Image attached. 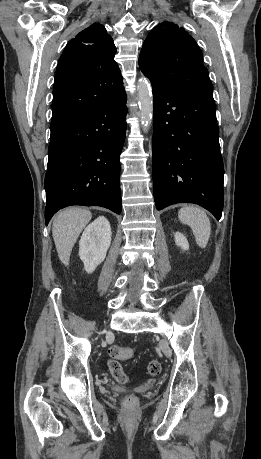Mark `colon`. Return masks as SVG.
<instances>
[{
  "label": "colon",
  "instance_id": "1",
  "mask_svg": "<svg viewBox=\"0 0 261 459\" xmlns=\"http://www.w3.org/2000/svg\"><path fill=\"white\" fill-rule=\"evenodd\" d=\"M134 354L133 349L120 347L113 345L108 349V355L110 357L108 361V368L111 375L119 383H125L127 381V374L122 368L119 360H128L132 358ZM161 362L157 359H153L148 363L147 370L150 375H158L161 372ZM137 403L135 396H129L125 400V404L129 407L134 406Z\"/></svg>",
  "mask_w": 261,
  "mask_h": 459
}]
</instances>
